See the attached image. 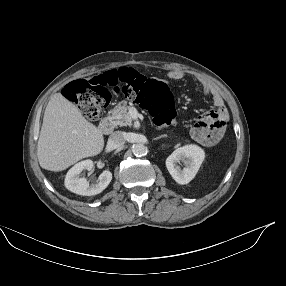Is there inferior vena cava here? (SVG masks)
I'll list each match as a JSON object with an SVG mask.
<instances>
[{
  "label": "inferior vena cava",
  "instance_id": "602c4592",
  "mask_svg": "<svg viewBox=\"0 0 286 286\" xmlns=\"http://www.w3.org/2000/svg\"><path fill=\"white\" fill-rule=\"evenodd\" d=\"M125 141V135L122 131H115L109 138V143L115 148L123 146Z\"/></svg>",
  "mask_w": 286,
  "mask_h": 286
}]
</instances>
